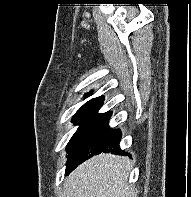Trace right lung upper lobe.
I'll return each instance as SVG.
<instances>
[{
  "instance_id": "obj_1",
  "label": "right lung upper lobe",
  "mask_w": 191,
  "mask_h": 197,
  "mask_svg": "<svg viewBox=\"0 0 191 197\" xmlns=\"http://www.w3.org/2000/svg\"><path fill=\"white\" fill-rule=\"evenodd\" d=\"M89 94H91V92H89L87 95H89ZM103 101H104V97L103 96L91 99L90 101L85 103L78 111H81V110H92L96 106H98L100 103H102Z\"/></svg>"
}]
</instances>
